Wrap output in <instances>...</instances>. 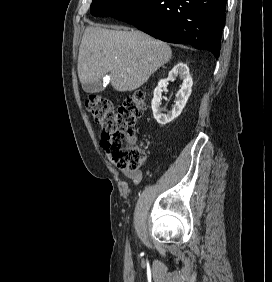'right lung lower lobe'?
I'll use <instances>...</instances> for the list:
<instances>
[{
  "label": "right lung lower lobe",
  "instance_id": "obj_1",
  "mask_svg": "<svg viewBox=\"0 0 272 282\" xmlns=\"http://www.w3.org/2000/svg\"><path fill=\"white\" fill-rule=\"evenodd\" d=\"M227 0H138L113 18L170 43H187L219 56Z\"/></svg>",
  "mask_w": 272,
  "mask_h": 282
}]
</instances>
